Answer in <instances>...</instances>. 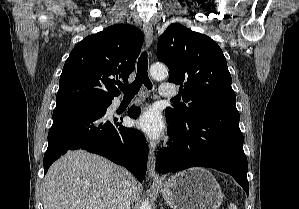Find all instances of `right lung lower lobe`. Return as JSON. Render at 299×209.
Returning a JSON list of instances; mask_svg holds the SVG:
<instances>
[{
  "instance_id": "1",
  "label": "right lung lower lobe",
  "mask_w": 299,
  "mask_h": 209,
  "mask_svg": "<svg viewBox=\"0 0 299 209\" xmlns=\"http://www.w3.org/2000/svg\"><path fill=\"white\" fill-rule=\"evenodd\" d=\"M86 102H59L53 111V124L48 133L44 154V175L50 165L71 150L84 149L104 156L129 169L142 181L146 174L148 149L141 132L121 125V119H106V108ZM140 109L131 107L130 117Z\"/></svg>"
}]
</instances>
